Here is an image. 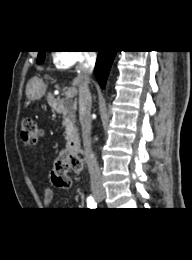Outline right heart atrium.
Segmentation results:
<instances>
[{"label":"right heart atrium","instance_id":"1","mask_svg":"<svg viewBox=\"0 0 192 260\" xmlns=\"http://www.w3.org/2000/svg\"><path fill=\"white\" fill-rule=\"evenodd\" d=\"M88 53L80 51H59L55 55L56 65L63 69L71 68L79 63L87 61Z\"/></svg>","mask_w":192,"mask_h":260}]
</instances>
